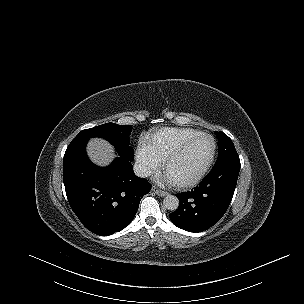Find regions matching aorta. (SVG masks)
I'll return each instance as SVG.
<instances>
[{"label":"aorta","instance_id":"aorta-1","mask_svg":"<svg viewBox=\"0 0 304 304\" xmlns=\"http://www.w3.org/2000/svg\"><path fill=\"white\" fill-rule=\"evenodd\" d=\"M179 204H180L179 199L176 196L171 195V194H168L163 200L164 207L170 211L177 210L179 207Z\"/></svg>","mask_w":304,"mask_h":304}]
</instances>
